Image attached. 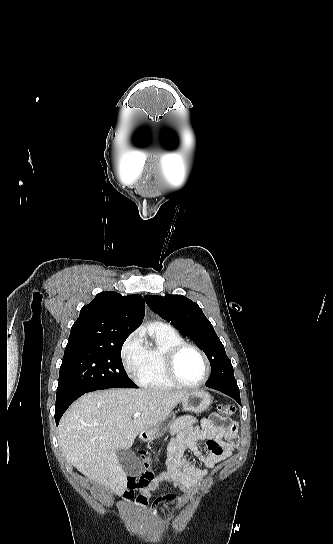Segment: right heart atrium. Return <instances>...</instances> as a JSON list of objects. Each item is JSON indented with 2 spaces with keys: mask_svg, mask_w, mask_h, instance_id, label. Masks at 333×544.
Here are the masks:
<instances>
[{
  "mask_svg": "<svg viewBox=\"0 0 333 544\" xmlns=\"http://www.w3.org/2000/svg\"><path fill=\"white\" fill-rule=\"evenodd\" d=\"M120 359L127 375L137 380L142 360V340L139 332H132L123 342Z\"/></svg>",
  "mask_w": 333,
  "mask_h": 544,
  "instance_id": "1",
  "label": "right heart atrium"
}]
</instances>
